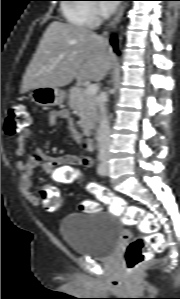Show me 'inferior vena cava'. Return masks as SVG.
Instances as JSON below:
<instances>
[{"instance_id": "obj_1", "label": "inferior vena cava", "mask_w": 180, "mask_h": 299, "mask_svg": "<svg viewBox=\"0 0 180 299\" xmlns=\"http://www.w3.org/2000/svg\"><path fill=\"white\" fill-rule=\"evenodd\" d=\"M105 102L106 98L103 95H101L97 100V105L102 116L100 126L98 129V150L100 158H104L108 154L109 147L110 128L108 117L106 116Z\"/></svg>"}]
</instances>
